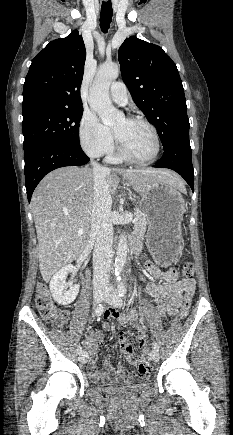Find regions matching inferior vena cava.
<instances>
[{
  "label": "inferior vena cava",
  "instance_id": "1",
  "mask_svg": "<svg viewBox=\"0 0 233 435\" xmlns=\"http://www.w3.org/2000/svg\"><path fill=\"white\" fill-rule=\"evenodd\" d=\"M93 166L94 200L92 207L91 234L96 243L93 252V286H104L109 279L112 258L113 225L110 220L112 198L104 175L109 168L91 161Z\"/></svg>",
  "mask_w": 233,
  "mask_h": 435
}]
</instances>
